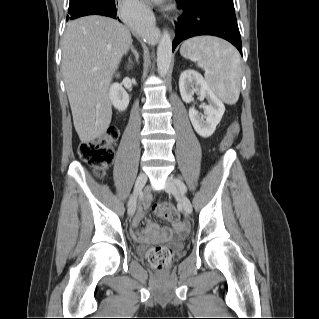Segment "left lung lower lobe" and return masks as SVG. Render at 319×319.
<instances>
[{"label":"left lung lower lobe","instance_id":"obj_1","mask_svg":"<svg viewBox=\"0 0 319 319\" xmlns=\"http://www.w3.org/2000/svg\"><path fill=\"white\" fill-rule=\"evenodd\" d=\"M184 10L175 22L173 51L185 39L213 35L232 43L242 54V43L235 12L206 4L200 0H176Z\"/></svg>","mask_w":319,"mask_h":319}]
</instances>
